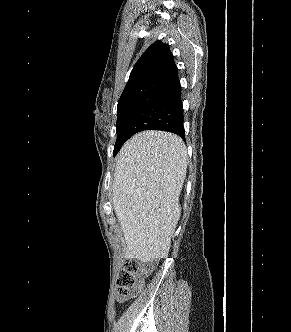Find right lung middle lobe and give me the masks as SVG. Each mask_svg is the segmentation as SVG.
I'll return each instance as SVG.
<instances>
[{
  "label": "right lung middle lobe",
  "instance_id": "dd1d6c3e",
  "mask_svg": "<svg viewBox=\"0 0 291 332\" xmlns=\"http://www.w3.org/2000/svg\"><path fill=\"white\" fill-rule=\"evenodd\" d=\"M147 94H137L134 96H130L118 101L117 105V123H116V133H117V140L115 143L113 154L115 155L121 146L126 142V135L124 134V130L134 108L139 104L141 99Z\"/></svg>",
  "mask_w": 291,
  "mask_h": 332
}]
</instances>
